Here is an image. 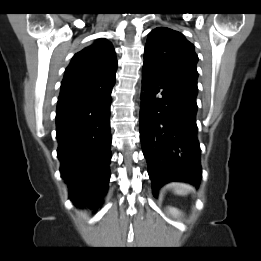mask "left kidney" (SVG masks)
Instances as JSON below:
<instances>
[{
	"label": "left kidney",
	"instance_id": "5707ae66",
	"mask_svg": "<svg viewBox=\"0 0 261 261\" xmlns=\"http://www.w3.org/2000/svg\"><path fill=\"white\" fill-rule=\"evenodd\" d=\"M168 211L169 213L173 216V217H178L181 215V212L177 209V208H174V207H168Z\"/></svg>",
	"mask_w": 261,
	"mask_h": 261
}]
</instances>
